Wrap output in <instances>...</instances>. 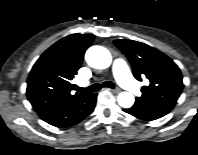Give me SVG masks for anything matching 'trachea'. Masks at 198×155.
<instances>
[{"label": "trachea", "instance_id": "obj_1", "mask_svg": "<svg viewBox=\"0 0 198 155\" xmlns=\"http://www.w3.org/2000/svg\"><path fill=\"white\" fill-rule=\"evenodd\" d=\"M102 87L115 88V85L110 81H106L102 85L99 83H95L92 86H89L87 88L77 87V91H80L83 93H93V92L99 91Z\"/></svg>", "mask_w": 198, "mask_h": 155}]
</instances>
